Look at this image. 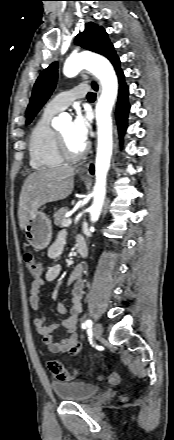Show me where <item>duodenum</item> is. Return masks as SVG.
I'll list each match as a JSON object with an SVG mask.
<instances>
[{"instance_id":"obj_1","label":"duodenum","mask_w":174,"mask_h":440,"mask_svg":"<svg viewBox=\"0 0 174 440\" xmlns=\"http://www.w3.org/2000/svg\"><path fill=\"white\" fill-rule=\"evenodd\" d=\"M79 238L75 240L76 250L81 258H84L88 254V247L86 241L83 237L78 236Z\"/></svg>"}]
</instances>
